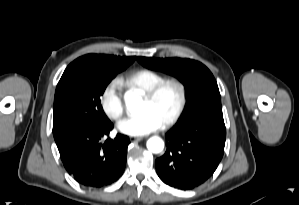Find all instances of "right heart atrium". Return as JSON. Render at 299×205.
<instances>
[{"label":"right heart atrium","mask_w":299,"mask_h":205,"mask_svg":"<svg viewBox=\"0 0 299 205\" xmlns=\"http://www.w3.org/2000/svg\"><path fill=\"white\" fill-rule=\"evenodd\" d=\"M119 88V81L113 79L104 86L100 94V106L103 112L114 121L121 119L124 114V105Z\"/></svg>","instance_id":"obj_1"}]
</instances>
